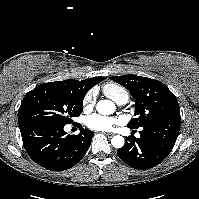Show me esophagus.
<instances>
[{
  "label": "esophagus",
  "instance_id": "34e87169",
  "mask_svg": "<svg viewBox=\"0 0 199 199\" xmlns=\"http://www.w3.org/2000/svg\"><path fill=\"white\" fill-rule=\"evenodd\" d=\"M105 135H106L107 137H109V138H111V137H113V136H114V134H113V133H105Z\"/></svg>",
  "mask_w": 199,
  "mask_h": 199
}]
</instances>
